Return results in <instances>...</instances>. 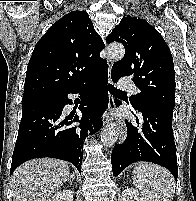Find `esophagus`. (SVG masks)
<instances>
[{"instance_id":"1","label":"esophagus","mask_w":196,"mask_h":201,"mask_svg":"<svg viewBox=\"0 0 196 201\" xmlns=\"http://www.w3.org/2000/svg\"><path fill=\"white\" fill-rule=\"evenodd\" d=\"M111 70H112V62L109 61V83H113L112 81V76H111ZM108 109H109V112L111 114H113L116 110V106H115V103H114V98L111 94H109V103H108ZM126 139V129L125 127L123 126V124L121 123V130H120V136H119V142L120 143H123Z\"/></svg>"}]
</instances>
